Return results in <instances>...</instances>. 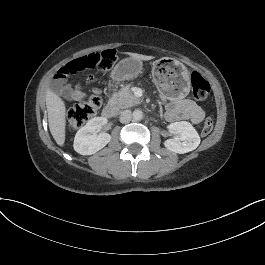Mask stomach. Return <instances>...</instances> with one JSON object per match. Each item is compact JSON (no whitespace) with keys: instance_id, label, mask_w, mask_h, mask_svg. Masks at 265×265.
<instances>
[{"instance_id":"stomach-1","label":"stomach","mask_w":265,"mask_h":265,"mask_svg":"<svg viewBox=\"0 0 265 265\" xmlns=\"http://www.w3.org/2000/svg\"><path fill=\"white\" fill-rule=\"evenodd\" d=\"M142 70V62L132 57L123 59L112 70L114 80L125 81L136 77ZM153 82L160 93L170 100L183 99L190 91L189 71L178 60L164 57L154 62Z\"/></svg>"}]
</instances>
